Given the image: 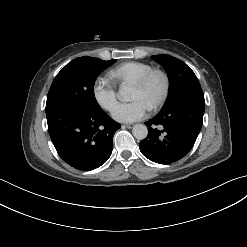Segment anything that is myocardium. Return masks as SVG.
I'll return each instance as SVG.
<instances>
[{"instance_id":"1","label":"myocardium","mask_w":247,"mask_h":247,"mask_svg":"<svg viewBox=\"0 0 247 247\" xmlns=\"http://www.w3.org/2000/svg\"><path fill=\"white\" fill-rule=\"evenodd\" d=\"M155 76H160L163 79L164 87L159 98L150 106L151 110H156L157 108L162 106L167 100L171 89V79L169 74L161 69H152L134 82L135 86L139 88H146L152 80V78Z\"/></svg>"}]
</instances>
